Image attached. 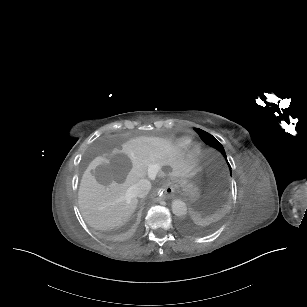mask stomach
<instances>
[{"mask_svg": "<svg viewBox=\"0 0 307 307\" xmlns=\"http://www.w3.org/2000/svg\"><path fill=\"white\" fill-rule=\"evenodd\" d=\"M173 182L175 187L180 188L185 193H191L195 190V177L192 174L175 178Z\"/></svg>", "mask_w": 307, "mask_h": 307, "instance_id": "stomach-1", "label": "stomach"}]
</instances>
